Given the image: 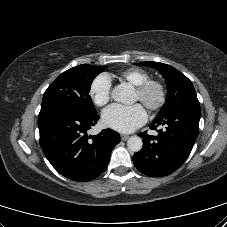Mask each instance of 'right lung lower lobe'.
Listing matches in <instances>:
<instances>
[{"instance_id":"1","label":"right lung lower lobe","mask_w":227,"mask_h":227,"mask_svg":"<svg viewBox=\"0 0 227 227\" xmlns=\"http://www.w3.org/2000/svg\"><path fill=\"white\" fill-rule=\"evenodd\" d=\"M99 116L86 115L66 107L41 110L38 116L40 145L55 170L73 181L95 179L106 169L119 133L102 130L88 136Z\"/></svg>"}]
</instances>
